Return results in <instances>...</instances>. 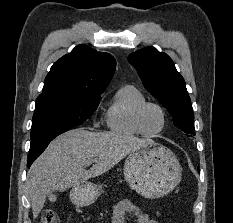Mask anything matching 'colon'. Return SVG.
I'll return each mask as SVG.
<instances>
[{
  "mask_svg": "<svg viewBox=\"0 0 233 223\" xmlns=\"http://www.w3.org/2000/svg\"><path fill=\"white\" fill-rule=\"evenodd\" d=\"M42 223H59L58 216L53 209H46L42 212Z\"/></svg>",
  "mask_w": 233,
  "mask_h": 223,
  "instance_id": "obj_1",
  "label": "colon"
}]
</instances>
